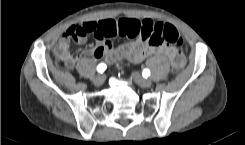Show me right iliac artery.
I'll return each instance as SVG.
<instances>
[{
    "label": "right iliac artery",
    "instance_id": "1",
    "mask_svg": "<svg viewBox=\"0 0 245 145\" xmlns=\"http://www.w3.org/2000/svg\"><path fill=\"white\" fill-rule=\"evenodd\" d=\"M105 69H106V64H104V63H100V64L97 66V71H98L99 73H103V72L105 71Z\"/></svg>",
    "mask_w": 245,
    "mask_h": 145
}]
</instances>
